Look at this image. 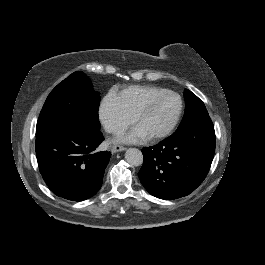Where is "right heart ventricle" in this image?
Listing matches in <instances>:
<instances>
[{"label":"right heart ventricle","mask_w":265,"mask_h":265,"mask_svg":"<svg viewBox=\"0 0 265 265\" xmlns=\"http://www.w3.org/2000/svg\"><path fill=\"white\" fill-rule=\"evenodd\" d=\"M155 86L134 85L128 86L117 92L114 97L121 108L129 115L133 116L144 103V101L156 90Z\"/></svg>","instance_id":"e07e8e85"}]
</instances>
